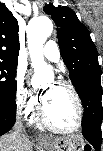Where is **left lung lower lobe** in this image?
I'll use <instances>...</instances> for the list:
<instances>
[{"label":"left lung lower lobe","mask_w":103,"mask_h":151,"mask_svg":"<svg viewBox=\"0 0 103 151\" xmlns=\"http://www.w3.org/2000/svg\"><path fill=\"white\" fill-rule=\"evenodd\" d=\"M76 91L84 106L83 136L96 151H100L103 122L101 73L85 76L84 82Z\"/></svg>","instance_id":"left-lung-lower-lobe-1"}]
</instances>
